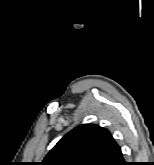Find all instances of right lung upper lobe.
I'll return each instance as SVG.
<instances>
[{
	"label": "right lung upper lobe",
	"mask_w": 154,
	"mask_h": 165,
	"mask_svg": "<svg viewBox=\"0 0 154 165\" xmlns=\"http://www.w3.org/2000/svg\"><path fill=\"white\" fill-rule=\"evenodd\" d=\"M119 152L107 129L83 124L62 137L40 165H111Z\"/></svg>",
	"instance_id": "1"
}]
</instances>
